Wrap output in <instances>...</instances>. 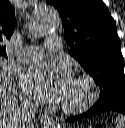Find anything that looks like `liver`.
<instances>
[{
  "instance_id": "1",
  "label": "liver",
  "mask_w": 125,
  "mask_h": 128,
  "mask_svg": "<svg viewBox=\"0 0 125 128\" xmlns=\"http://www.w3.org/2000/svg\"><path fill=\"white\" fill-rule=\"evenodd\" d=\"M19 114L15 83L0 68V128H19Z\"/></svg>"
}]
</instances>
